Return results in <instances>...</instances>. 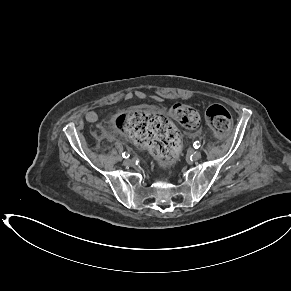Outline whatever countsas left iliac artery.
<instances>
[{"instance_id": "44dca946", "label": "left iliac artery", "mask_w": 291, "mask_h": 291, "mask_svg": "<svg viewBox=\"0 0 291 291\" xmlns=\"http://www.w3.org/2000/svg\"><path fill=\"white\" fill-rule=\"evenodd\" d=\"M193 146H194L195 149H198L201 146V144H200L199 141H195Z\"/></svg>"}]
</instances>
